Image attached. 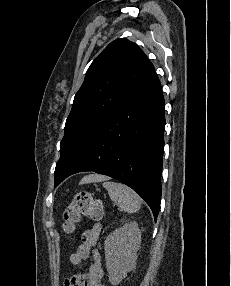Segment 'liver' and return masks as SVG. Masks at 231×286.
Masks as SVG:
<instances>
[{
  "label": "liver",
  "mask_w": 231,
  "mask_h": 286,
  "mask_svg": "<svg viewBox=\"0 0 231 286\" xmlns=\"http://www.w3.org/2000/svg\"><path fill=\"white\" fill-rule=\"evenodd\" d=\"M105 179L104 176H100V175H89V176H86L84 177L80 184H86V183H90V182H95V181H101Z\"/></svg>",
  "instance_id": "obj_1"
}]
</instances>
